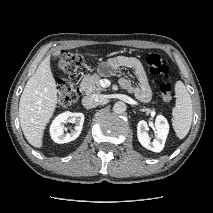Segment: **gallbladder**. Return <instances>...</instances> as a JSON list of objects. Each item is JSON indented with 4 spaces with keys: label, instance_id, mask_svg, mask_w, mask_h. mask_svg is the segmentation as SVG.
Here are the masks:
<instances>
[{
    "label": "gallbladder",
    "instance_id": "gallbladder-1",
    "mask_svg": "<svg viewBox=\"0 0 213 213\" xmlns=\"http://www.w3.org/2000/svg\"><path fill=\"white\" fill-rule=\"evenodd\" d=\"M53 56H54V57H57V56H58V53H54Z\"/></svg>",
    "mask_w": 213,
    "mask_h": 213
}]
</instances>
